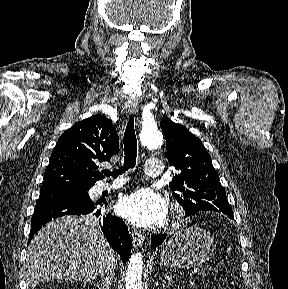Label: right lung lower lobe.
<instances>
[{
	"label": "right lung lower lobe",
	"mask_w": 288,
	"mask_h": 289,
	"mask_svg": "<svg viewBox=\"0 0 288 289\" xmlns=\"http://www.w3.org/2000/svg\"><path fill=\"white\" fill-rule=\"evenodd\" d=\"M106 206L107 203L82 204L73 201H45L36 203L35 211L31 219V231L29 240L39 231L42 226L52 219L64 215H85L93 213L95 216L104 215L101 229L107 238L110 246L119 253L123 262H126L132 248V240L130 238L128 228L124 222L116 216L104 213L103 208L96 205ZM29 242V241H28Z\"/></svg>",
	"instance_id": "obj_1"
}]
</instances>
